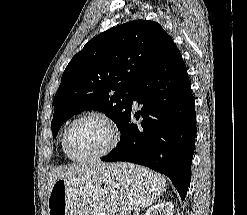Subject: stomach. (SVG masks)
I'll return each mask as SVG.
<instances>
[{
    "label": "stomach",
    "instance_id": "0dacf381",
    "mask_svg": "<svg viewBox=\"0 0 247 215\" xmlns=\"http://www.w3.org/2000/svg\"><path fill=\"white\" fill-rule=\"evenodd\" d=\"M164 187L163 178L146 168L107 164L82 180H56L47 211L48 215H116L149 206Z\"/></svg>",
    "mask_w": 247,
    "mask_h": 215
}]
</instances>
